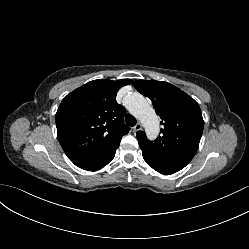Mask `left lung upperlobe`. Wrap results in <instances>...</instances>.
<instances>
[{
	"label": "left lung upper lobe",
	"instance_id": "left-lung-upper-lobe-1",
	"mask_svg": "<svg viewBox=\"0 0 249 249\" xmlns=\"http://www.w3.org/2000/svg\"><path fill=\"white\" fill-rule=\"evenodd\" d=\"M132 85L151 99L163 125L155 141H149L144 132H137L142 155L186 166L198 150L204 127L198 103L168 82L137 80Z\"/></svg>",
	"mask_w": 249,
	"mask_h": 249
}]
</instances>
